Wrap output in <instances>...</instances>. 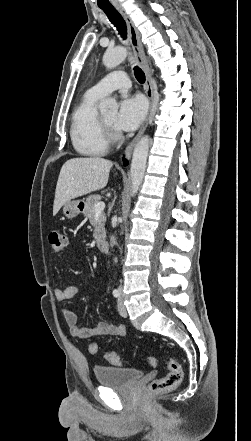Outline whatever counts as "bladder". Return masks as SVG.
<instances>
[{
	"label": "bladder",
	"mask_w": 251,
	"mask_h": 441,
	"mask_svg": "<svg viewBox=\"0 0 251 441\" xmlns=\"http://www.w3.org/2000/svg\"><path fill=\"white\" fill-rule=\"evenodd\" d=\"M94 376L102 386L127 389L143 376V372L134 368L96 366L94 367Z\"/></svg>",
	"instance_id": "bladder-1"
}]
</instances>
